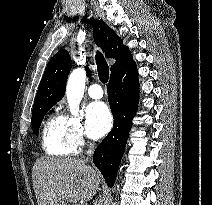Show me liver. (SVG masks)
I'll list each match as a JSON object with an SVG mask.
<instances>
[{
  "instance_id": "liver-1",
  "label": "liver",
  "mask_w": 212,
  "mask_h": 205,
  "mask_svg": "<svg viewBox=\"0 0 212 205\" xmlns=\"http://www.w3.org/2000/svg\"><path fill=\"white\" fill-rule=\"evenodd\" d=\"M32 177L38 205L88 201L99 185L97 172L76 158L41 157L33 166Z\"/></svg>"
}]
</instances>
